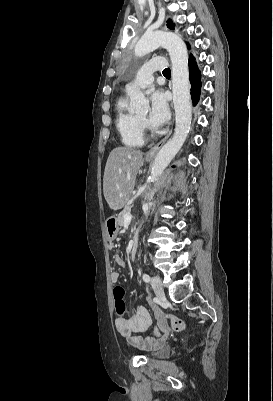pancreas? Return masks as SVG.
I'll list each match as a JSON object with an SVG mask.
<instances>
[{
    "mask_svg": "<svg viewBox=\"0 0 273 401\" xmlns=\"http://www.w3.org/2000/svg\"><path fill=\"white\" fill-rule=\"evenodd\" d=\"M131 207H132V205H128V207H124L123 211H121V213H119L118 219H117V223H118L119 227H123V225H125L124 215H127V213H130Z\"/></svg>",
    "mask_w": 273,
    "mask_h": 401,
    "instance_id": "1",
    "label": "pancreas"
}]
</instances>
